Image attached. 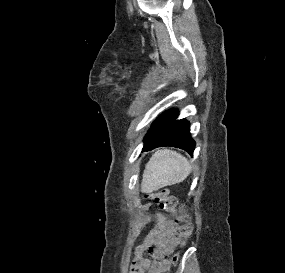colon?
Instances as JSON below:
<instances>
[{
  "instance_id": "obj_1",
  "label": "colon",
  "mask_w": 285,
  "mask_h": 273,
  "mask_svg": "<svg viewBox=\"0 0 285 273\" xmlns=\"http://www.w3.org/2000/svg\"><path fill=\"white\" fill-rule=\"evenodd\" d=\"M145 198L153 200L160 208L166 212L176 215V221L179 224V236L181 245H185L192 233V224L190 223L189 216L177 209V202L174 196L170 195L169 190L166 188L155 190L145 194ZM179 254L172 257V263L178 261Z\"/></svg>"
}]
</instances>
